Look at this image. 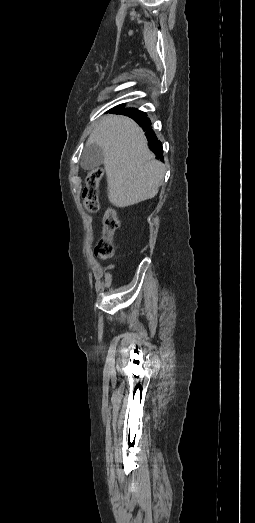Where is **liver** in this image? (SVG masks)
Returning a JSON list of instances; mask_svg holds the SVG:
<instances>
[{"label": "liver", "instance_id": "obj_1", "mask_svg": "<svg viewBox=\"0 0 255 523\" xmlns=\"http://www.w3.org/2000/svg\"><path fill=\"white\" fill-rule=\"evenodd\" d=\"M104 150L108 198L117 208L155 198L166 172L150 152L142 128L126 116H105L87 142Z\"/></svg>", "mask_w": 255, "mask_h": 523}]
</instances>
